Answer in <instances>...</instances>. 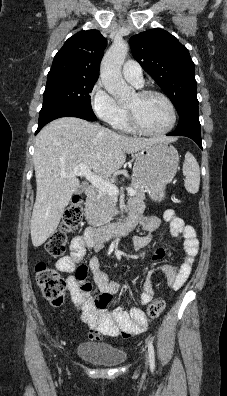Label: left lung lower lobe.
I'll return each instance as SVG.
<instances>
[{
	"instance_id": "0a47b994",
	"label": "left lung lower lobe",
	"mask_w": 227,
	"mask_h": 396,
	"mask_svg": "<svg viewBox=\"0 0 227 396\" xmlns=\"http://www.w3.org/2000/svg\"><path fill=\"white\" fill-rule=\"evenodd\" d=\"M169 136H186L194 140L202 149L198 106L189 107L179 115V123Z\"/></svg>"
}]
</instances>
